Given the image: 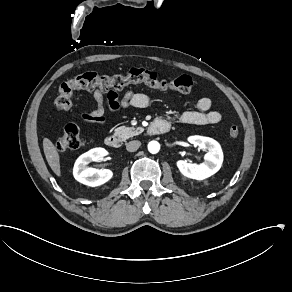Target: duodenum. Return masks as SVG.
Segmentation results:
<instances>
[{
  "label": "duodenum",
  "instance_id": "obj_1",
  "mask_svg": "<svg viewBox=\"0 0 292 292\" xmlns=\"http://www.w3.org/2000/svg\"><path fill=\"white\" fill-rule=\"evenodd\" d=\"M170 128H171L170 122L164 119H157L147 128V134L148 135L166 134L170 131ZM105 143L108 147L112 149L120 148V140L118 136L115 134L108 135L105 139Z\"/></svg>",
  "mask_w": 292,
  "mask_h": 292
}]
</instances>
